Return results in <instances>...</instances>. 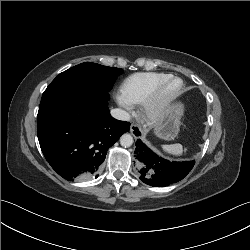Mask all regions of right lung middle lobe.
I'll use <instances>...</instances> for the list:
<instances>
[{
  "instance_id": "right-lung-middle-lobe-1",
  "label": "right lung middle lobe",
  "mask_w": 250,
  "mask_h": 250,
  "mask_svg": "<svg viewBox=\"0 0 250 250\" xmlns=\"http://www.w3.org/2000/svg\"><path fill=\"white\" fill-rule=\"evenodd\" d=\"M123 72L120 68L107 67L97 63H81L60 73L44 91L40 106L57 97L61 92L88 87L108 92L116 77Z\"/></svg>"
}]
</instances>
